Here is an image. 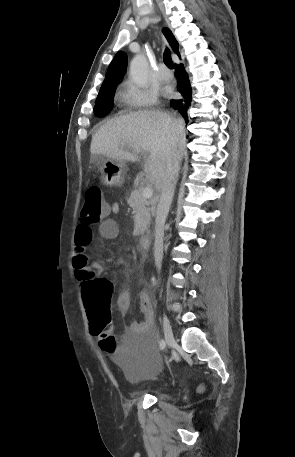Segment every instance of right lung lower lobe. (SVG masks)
<instances>
[{
    "instance_id": "obj_1",
    "label": "right lung lower lobe",
    "mask_w": 295,
    "mask_h": 457,
    "mask_svg": "<svg viewBox=\"0 0 295 457\" xmlns=\"http://www.w3.org/2000/svg\"><path fill=\"white\" fill-rule=\"evenodd\" d=\"M175 73L177 77V89L181 93L182 98L178 100H172L171 105L178 109V111L185 118L186 123H188L187 111L191 105L192 91L188 75L185 72L183 64H175Z\"/></svg>"
}]
</instances>
